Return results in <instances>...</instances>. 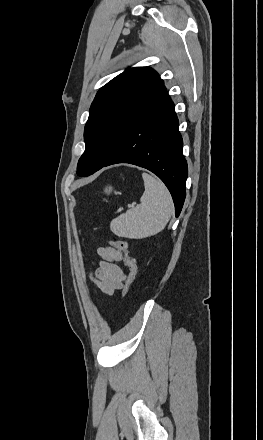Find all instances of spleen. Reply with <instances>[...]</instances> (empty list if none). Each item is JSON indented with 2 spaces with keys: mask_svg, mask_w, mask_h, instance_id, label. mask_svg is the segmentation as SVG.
Segmentation results:
<instances>
[{
  "mask_svg": "<svg viewBox=\"0 0 263 440\" xmlns=\"http://www.w3.org/2000/svg\"><path fill=\"white\" fill-rule=\"evenodd\" d=\"M145 191L140 204L110 222L111 231L119 237L142 239L164 229L173 213V201L164 183L142 173Z\"/></svg>",
  "mask_w": 263,
  "mask_h": 440,
  "instance_id": "spleen-1",
  "label": "spleen"
}]
</instances>
